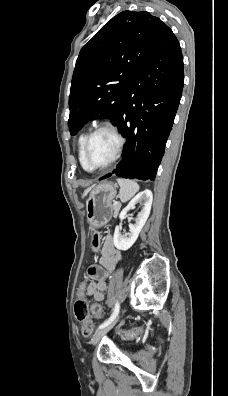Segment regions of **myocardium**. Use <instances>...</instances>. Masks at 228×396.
<instances>
[{
	"instance_id": "1",
	"label": "myocardium",
	"mask_w": 228,
	"mask_h": 396,
	"mask_svg": "<svg viewBox=\"0 0 228 396\" xmlns=\"http://www.w3.org/2000/svg\"><path fill=\"white\" fill-rule=\"evenodd\" d=\"M103 130L109 131L114 135V137L117 140V147H116V150H115V153H114L112 159L109 162H107L104 165L95 166V165L91 164V162L89 160L88 148H89V145H90V142H91V139L93 138V136L96 133L103 131ZM123 146H124V138L119 133V131L110 123H102V124L98 125L97 127H95L86 136V139H85V142L83 145L84 162L91 171L106 169V168L112 166L119 159L121 152L123 150Z\"/></svg>"
}]
</instances>
